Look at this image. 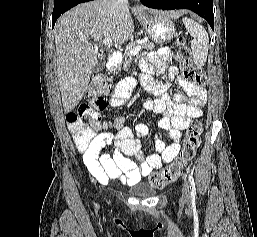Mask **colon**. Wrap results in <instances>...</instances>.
Instances as JSON below:
<instances>
[{
    "mask_svg": "<svg viewBox=\"0 0 257 237\" xmlns=\"http://www.w3.org/2000/svg\"><path fill=\"white\" fill-rule=\"evenodd\" d=\"M177 59L188 83L201 88L206 85L207 78L200 68L193 65L190 49L186 46L182 37L177 38ZM111 93L112 86L109 80L103 75L96 77L89 86L90 104L95 105L106 101V96ZM82 119L80 114L75 112H70L66 115L68 129L81 146H86L92 140V135L88 133ZM202 131V124L198 121H193L188 126L180 154L169 166L150 175L149 184L152 187L161 189L180 177L183 170L190 164L197 153Z\"/></svg>",
    "mask_w": 257,
    "mask_h": 237,
    "instance_id": "5ec220e1",
    "label": "colon"
}]
</instances>
